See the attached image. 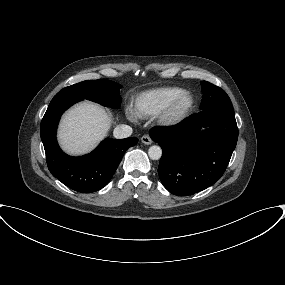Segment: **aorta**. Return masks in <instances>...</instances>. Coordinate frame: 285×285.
Instances as JSON below:
<instances>
[{"instance_id":"762f6f07","label":"aorta","mask_w":285,"mask_h":285,"mask_svg":"<svg viewBox=\"0 0 285 285\" xmlns=\"http://www.w3.org/2000/svg\"><path fill=\"white\" fill-rule=\"evenodd\" d=\"M148 155L152 160H158L162 156V149L160 146L153 145L148 149Z\"/></svg>"}]
</instances>
